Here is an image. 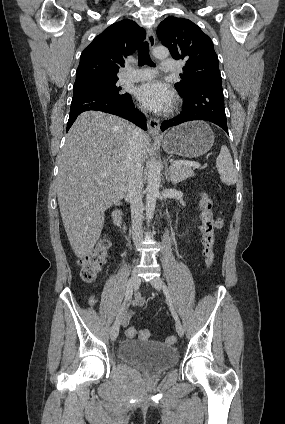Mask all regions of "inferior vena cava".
<instances>
[{
	"label": "inferior vena cava",
	"mask_w": 285,
	"mask_h": 424,
	"mask_svg": "<svg viewBox=\"0 0 285 424\" xmlns=\"http://www.w3.org/2000/svg\"><path fill=\"white\" fill-rule=\"evenodd\" d=\"M143 131L133 127L126 166L128 169V198L131 206L132 238L135 246H139L143 238V156L141 138Z\"/></svg>",
	"instance_id": "inferior-vena-cava-1"
}]
</instances>
